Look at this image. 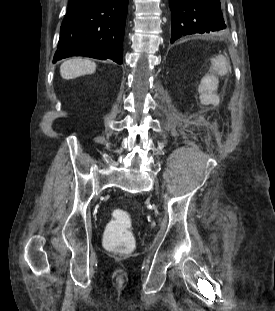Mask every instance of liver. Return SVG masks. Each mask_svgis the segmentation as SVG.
Here are the masks:
<instances>
[{
  "label": "liver",
  "instance_id": "liver-1",
  "mask_svg": "<svg viewBox=\"0 0 275 311\" xmlns=\"http://www.w3.org/2000/svg\"><path fill=\"white\" fill-rule=\"evenodd\" d=\"M96 70V64L89 59L74 58L64 61L60 66V74L63 79H73L85 74H92Z\"/></svg>",
  "mask_w": 275,
  "mask_h": 311
}]
</instances>
